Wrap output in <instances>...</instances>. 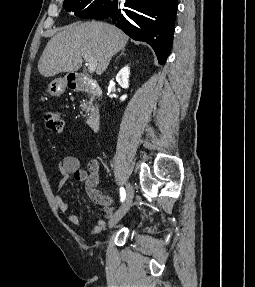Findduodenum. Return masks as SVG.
Masks as SVG:
<instances>
[{
    "label": "duodenum",
    "instance_id": "410a0bca",
    "mask_svg": "<svg viewBox=\"0 0 255 287\" xmlns=\"http://www.w3.org/2000/svg\"><path fill=\"white\" fill-rule=\"evenodd\" d=\"M68 87L74 91L89 93L92 97H98L101 93L98 84L88 78H75L68 82ZM101 116L97 110L90 113L87 124L93 131H97L100 127Z\"/></svg>",
    "mask_w": 255,
    "mask_h": 287
}]
</instances>
